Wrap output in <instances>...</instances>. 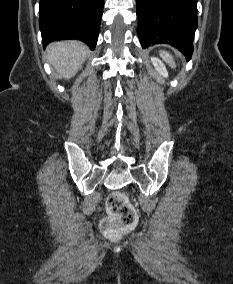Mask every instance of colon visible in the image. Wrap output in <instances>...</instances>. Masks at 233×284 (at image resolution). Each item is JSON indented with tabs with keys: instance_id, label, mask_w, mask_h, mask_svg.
<instances>
[{
	"instance_id": "obj_1",
	"label": "colon",
	"mask_w": 233,
	"mask_h": 284,
	"mask_svg": "<svg viewBox=\"0 0 233 284\" xmlns=\"http://www.w3.org/2000/svg\"><path fill=\"white\" fill-rule=\"evenodd\" d=\"M161 55L170 66H175L174 59L168 52L163 51ZM106 209L108 216L102 220L101 230L107 235H115L129 229L137 221L134 207L122 192H113L108 196Z\"/></svg>"
}]
</instances>
